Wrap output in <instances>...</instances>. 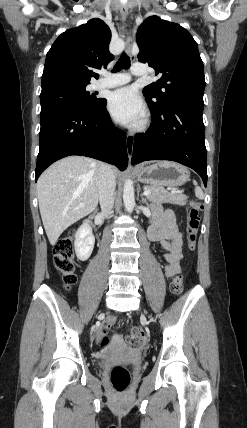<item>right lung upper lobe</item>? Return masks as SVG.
Segmentation results:
<instances>
[{"label":"right lung upper lobe","instance_id":"right-lung-upper-lobe-1","mask_svg":"<svg viewBox=\"0 0 247 428\" xmlns=\"http://www.w3.org/2000/svg\"><path fill=\"white\" fill-rule=\"evenodd\" d=\"M110 40L109 27L97 18L62 33L47 53L41 92L87 86L91 77L98 78L92 68L100 69L114 58L108 49Z\"/></svg>","mask_w":247,"mask_h":428}]
</instances>
